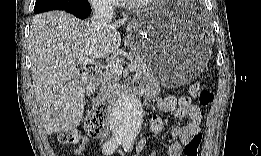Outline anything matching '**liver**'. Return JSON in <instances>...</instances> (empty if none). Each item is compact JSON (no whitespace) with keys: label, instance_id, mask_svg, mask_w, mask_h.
<instances>
[{"label":"liver","instance_id":"liver-1","mask_svg":"<svg viewBox=\"0 0 261 156\" xmlns=\"http://www.w3.org/2000/svg\"><path fill=\"white\" fill-rule=\"evenodd\" d=\"M128 17L110 23L102 30L91 22L81 21L64 11H49L34 16L30 26L29 57L32 63V82L39 113L47 134L65 132L78 125L84 110L78 91L65 84L80 76V58H104L121 44L118 28ZM72 94L75 118L72 124L59 125L56 111Z\"/></svg>","mask_w":261,"mask_h":156}]
</instances>
